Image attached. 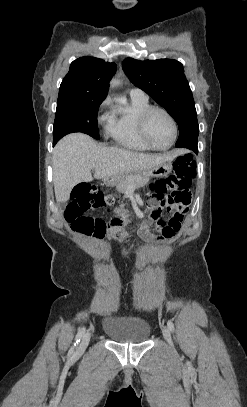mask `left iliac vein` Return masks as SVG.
I'll list each match as a JSON object with an SVG mask.
<instances>
[{"mask_svg": "<svg viewBox=\"0 0 247 407\" xmlns=\"http://www.w3.org/2000/svg\"><path fill=\"white\" fill-rule=\"evenodd\" d=\"M163 336H164L165 340L167 341V343L172 347L173 346L172 336H171V332H170L169 328L165 327L163 329Z\"/></svg>", "mask_w": 247, "mask_h": 407, "instance_id": "obj_1", "label": "left iliac vein"}]
</instances>
